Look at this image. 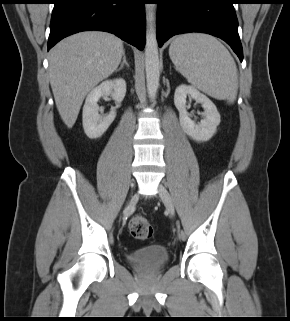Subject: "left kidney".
Listing matches in <instances>:
<instances>
[{
	"label": "left kidney",
	"mask_w": 290,
	"mask_h": 321,
	"mask_svg": "<svg viewBox=\"0 0 290 321\" xmlns=\"http://www.w3.org/2000/svg\"><path fill=\"white\" fill-rule=\"evenodd\" d=\"M187 96L201 103L204 108V119L198 124L190 118L187 112ZM174 104L179 111L180 125L190 138L203 142L211 139L216 133L217 126L220 124V114L214 103L197 89L192 86L180 85L175 90Z\"/></svg>",
	"instance_id": "left-kidney-1"
}]
</instances>
